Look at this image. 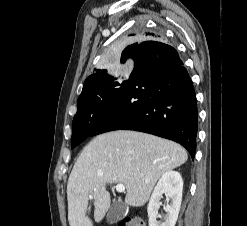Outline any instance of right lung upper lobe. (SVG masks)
I'll use <instances>...</instances> for the list:
<instances>
[{
  "label": "right lung upper lobe",
  "mask_w": 247,
  "mask_h": 226,
  "mask_svg": "<svg viewBox=\"0 0 247 226\" xmlns=\"http://www.w3.org/2000/svg\"><path fill=\"white\" fill-rule=\"evenodd\" d=\"M140 37L142 38H145V39H149V40H156V39H159L160 36L158 34H155V33H152V32H142L140 34ZM138 46V43H135V44H132L130 46H127L125 48V50L123 51V53L129 57H132L136 47ZM99 72L100 70L98 69H95L94 70V73L91 74L84 82V85H83V89H82V93L86 92L87 90L91 89L94 85H96V83L98 82L99 80ZM81 93V94H82ZM80 94V95H81Z\"/></svg>",
  "instance_id": "cb5924a9"
}]
</instances>
